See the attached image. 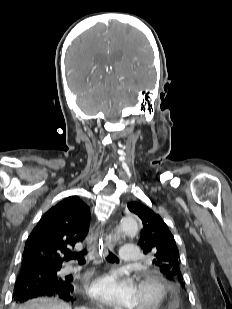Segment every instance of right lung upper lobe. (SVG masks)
Listing matches in <instances>:
<instances>
[{"label": "right lung upper lobe", "mask_w": 232, "mask_h": 309, "mask_svg": "<svg viewBox=\"0 0 232 309\" xmlns=\"http://www.w3.org/2000/svg\"><path fill=\"white\" fill-rule=\"evenodd\" d=\"M90 226L89 207L70 196L49 209L29 235L22 264H31L38 273L59 271L70 259L71 247L82 242Z\"/></svg>", "instance_id": "right-lung-upper-lobe-1"}]
</instances>
